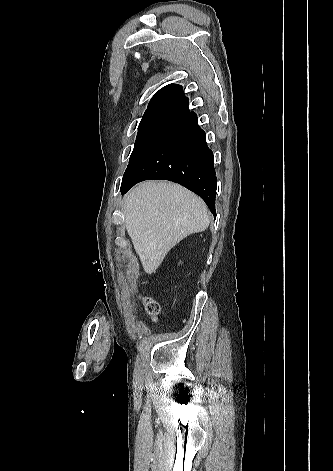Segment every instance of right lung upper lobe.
I'll list each match as a JSON object with an SVG mask.
<instances>
[{
    "label": "right lung upper lobe",
    "instance_id": "cb5924a9",
    "mask_svg": "<svg viewBox=\"0 0 333 471\" xmlns=\"http://www.w3.org/2000/svg\"><path fill=\"white\" fill-rule=\"evenodd\" d=\"M188 98L182 86L170 84L160 89L151 99L143 117L180 120L188 112Z\"/></svg>",
    "mask_w": 333,
    "mask_h": 471
}]
</instances>
